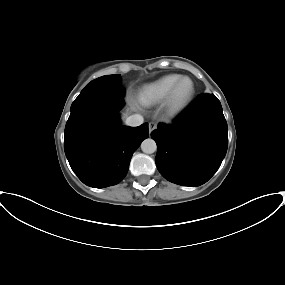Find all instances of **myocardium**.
I'll return each instance as SVG.
<instances>
[{
	"instance_id": "obj_1",
	"label": "myocardium",
	"mask_w": 285,
	"mask_h": 285,
	"mask_svg": "<svg viewBox=\"0 0 285 285\" xmlns=\"http://www.w3.org/2000/svg\"><path fill=\"white\" fill-rule=\"evenodd\" d=\"M185 80H188L191 82L190 93L188 94V96L185 99L178 100V98H177L178 90H179L182 82ZM195 94H196V86H195V82L193 81V79H191L190 77H187V76L181 77L177 81V83L173 86V88L171 89L167 98L165 99V102H164L165 112L169 116H176V115L182 113L193 102Z\"/></svg>"
}]
</instances>
